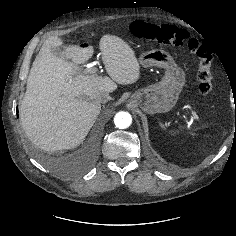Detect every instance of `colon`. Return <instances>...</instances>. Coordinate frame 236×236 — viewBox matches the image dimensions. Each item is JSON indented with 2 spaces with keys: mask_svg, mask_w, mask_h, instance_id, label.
<instances>
[{
  "mask_svg": "<svg viewBox=\"0 0 236 236\" xmlns=\"http://www.w3.org/2000/svg\"><path fill=\"white\" fill-rule=\"evenodd\" d=\"M131 32L139 38L159 44L180 47L186 45L199 59L197 81L199 91L208 95L213 91L211 64L213 53L210 47L201 40L193 37L184 29L172 25H158L136 20L131 25Z\"/></svg>",
  "mask_w": 236,
  "mask_h": 236,
  "instance_id": "1",
  "label": "colon"
}]
</instances>
